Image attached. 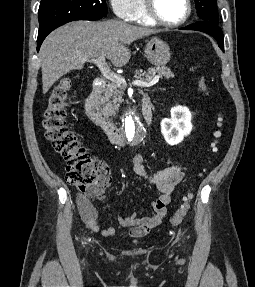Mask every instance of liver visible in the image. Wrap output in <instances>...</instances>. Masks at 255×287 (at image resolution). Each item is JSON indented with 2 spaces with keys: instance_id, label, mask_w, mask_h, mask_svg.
<instances>
[{
  "instance_id": "obj_1",
  "label": "liver",
  "mask_w": 255,
  "mask_h": 287,
  "mask_svg": "<svg viewBox=\"0 0 255 287\" xmlns=\"http://www.w3.org/2000/svg\"><path fill=\"white\" fill-rule=\"evenodd\" d=\"M159 30L138 28L125 22H70L58 28L44 40L39 52L42 66L43 94L61 76L71 70H82L81 58L105 56L113 66L128 64L131 54L126 48L144 36L158 34Z\"/></svg>"
}]
</instances>
